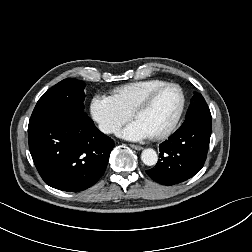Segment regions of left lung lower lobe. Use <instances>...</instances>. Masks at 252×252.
<instances>
[{"mask_svg":"<svg viewBox=\"0 0 252 252\" xmlns=\"http://www.w3.org/2000/svg\"><path fill=\"white\" fill-rule=\"evenodd\" d=\"M211 129V121H194L182 125L160 144V159L146 173L154 181L167 186L193 177L206 160Z\"/></svg>","mask_w":252,"mask_h":252,"instance_id":"obj_1","label":"left lung lower lobe"}]
</instances>
